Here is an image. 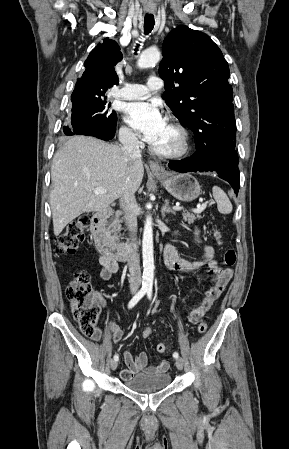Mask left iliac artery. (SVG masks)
<instances>
[{"instance_id": "44dca946", "label": "left iliac artery", "mask_w": 289, "mask_h": 449, "mask_svg": "<svg viewBox=\"0 0 289 449\" xmlns=\"http://www.w3.org/2000/svg\"><path fill=\"white\" fill-rule=\"evenodd\" d=\"M147 296H148V299L151 300V298H152V289H148L147 290ZM173 357L177 359L179 357L178 352H174L173 353Z\"/></svg>"}]
</instances>
